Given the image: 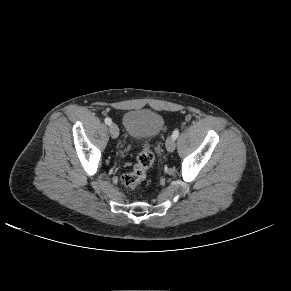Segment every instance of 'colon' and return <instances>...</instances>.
Returning a JSON list of instances; mask_svg holds the SVG:
<instances>
[{
  "label": "colon",
  "mask_w": 291,
  "mask_h": 291,
  "mask_svg": "<svg viewBox=\"0 0 291 291\" xmlns=\"http://www.w3.org/2000/svg\"><path fill=\"white\" fill-rule=\"evenodd\" d=\"M154 162V155L147 143L144 144L143 150L137 157V162L133 168L125 173L122 178V184L128 189H135L145 180L148 169Z\"/></svg>",
  "instance_id": "obj_1"
}]
</instances>
